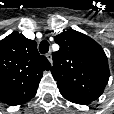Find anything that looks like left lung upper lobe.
Masks as SVG:
<instances>
[{
    "label": "left lung upper lobe",
    "mask_w": 114,
    "mask_h": 114,
    "mask_svg": "<svg viewBox=\"0 0 114 114\" xmlns=\"http://www.w3.org/2000/svg\"><path fill=\"white\" fill-rule=\"evenodd\" d=\"M52 75L61 94L95 100L109 80L108 60L102 47L87 35L69 29L55 36Z\"/></svg>",
    "instance_id": "1"
}]
</instances>
